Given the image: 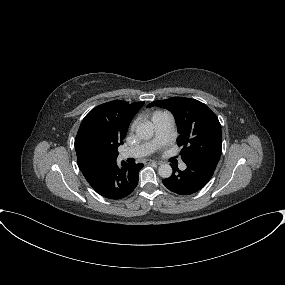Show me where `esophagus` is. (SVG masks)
I'll list each match as a JSON object with an SVG mask.
<instances>
[{"label":"esophagus","instance_id":"34e87169","mask_svg":"<svg viewBox=\"0 0 285 285\" xmlns=\"http://www.w3.org/2000/svg\"><path fill=\"white\" fill-rule=\"evenodd\" d=\"M149 163H154V164H156V165H160V164H161L160 161H154V160H151Z\"/></svg>","mask_w":285,"mask_h":285}]
</instances>
